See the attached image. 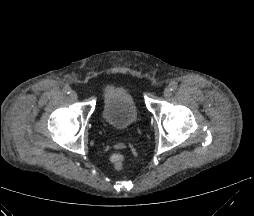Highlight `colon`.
<instances>
[{
  "instance_id": "colon-1",
  "label": "colon",
  "mask_w": 254,
  "mask_h": 216,
  "mask_svg": "<svg viewBox=\"0 0 254 216\" xmlns=\"http://www.w3.org/2000/svg\"><path fill=\"white\" fill-rule=\"evenodd\" d=\"M110 161L116 170H120L124 163V156L120 152H114L111 155Z\"/></svg>"
}]
</instances>
